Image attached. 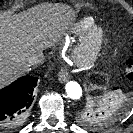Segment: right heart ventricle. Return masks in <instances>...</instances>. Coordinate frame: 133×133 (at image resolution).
<instances>
[{"instance_id": "obj_1", "label": "right heart ventricle", "mask_w": 133, "mask_h": 133, "mask_svg": "<svg viewBox=\"0 0 133 133\" xmlns=\"http://www.w3.org/2000/svg\"><path fill=\"white\" fill-rule=\"evenodd\" d=\"M94 24V18L90 16L81 17L73 23L69 30V33L73 36H81L86 33V31Z\"/></svg>"}]
</instances>
